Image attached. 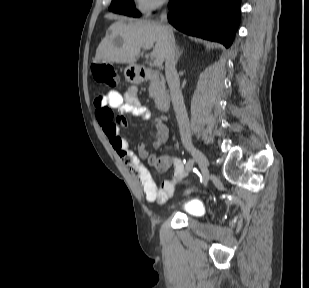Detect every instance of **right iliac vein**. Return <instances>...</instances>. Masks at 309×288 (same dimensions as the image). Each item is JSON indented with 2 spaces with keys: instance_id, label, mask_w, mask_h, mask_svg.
I'll list each match as a JSON object with an SVG mask.
<instances>
[{
  "instance_id": "right-iliac-vein-1",
  "label": "right iliac vein",
  "mask_w": 309,
  "mask_h": 288,
  "mask_svg": "<svg viewBox=\"0 0 309 288\" xmlns=\"http://www.w3.org/2000/svg\"><path fill=\"white\" fill-rule=\"evenodd\" d=\"M188 151L190 152V154L192 155V157L194 158L195 161H197V160L201 161V163L203 164V167L200 168V169L202 171L204 178H207L209 163H208L206 156L200 150H198L197 148H195L193 146H190L188 148Z\"/></svg>"
}]
</instances>
